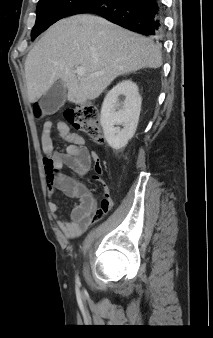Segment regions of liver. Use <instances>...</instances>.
Instances as JSON below:
<instances>
[{
	"label": "liver",
	"mask_w": 213,
	"mask_h": 338,
	"mask_svg": "<svg viewBox=\"0 0 213 338\" xmlns=\"http://www.w3.org/2000/svg\"><path fill=\"white\" fill-rule=\"evenodd\" d=\"M161 65V49L151 39L98 16L75 15L52 25L28 53V100L36 102L61 80L68 101L84 104L98 98L116 77ZM77 67L85 75L77 76Z\"/></svg>",
	"instance_id": "obj_1"
}]
</instances>
